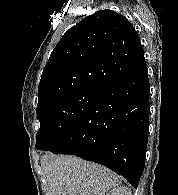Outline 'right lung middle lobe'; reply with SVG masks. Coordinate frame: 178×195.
Returning <instances> with one entry per match:
<instances>
[{"label":"right lung middle lobe","instance_id":"right-lung-middle-lobe-1","mask_svg":"<svg viewBox=\"0 0 178 195\" xmlns=\"http://www.w3.org/2000/svg\"><path fill=\"white\" fill-rule=\"evenodd\" d=\"M98 90L81 89L50 97L37 105L40 128L36 149L54 150L93 105Z\"/></svg>","mask_w":178,"mask_h":195}]
</instances>
